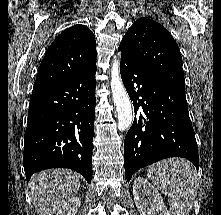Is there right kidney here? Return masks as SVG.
I'll use <instances>...</instances> for the list:
<instances>
[{"mask_svg":"<svg viewBox=\"0 0 221 215\" xmlns=\"http://www.w3.org/2000/svg\"><path fill=\"white\" fill-rule=\"evenodd\" d=\"M81 206V199L79 197L70 198L57 212L56 215H76Z\"/></svg>","mask_w":221,"mask_h":215,"instance_id":"ca27d5eb","label":"right kidney"}]
</instances>
